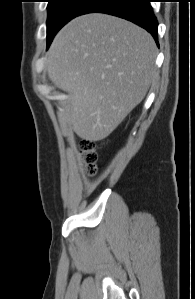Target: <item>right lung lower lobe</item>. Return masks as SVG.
Returning a JSON list of instances; mask_svg holds the SVG:
<instances>
[{
  "mask_svg": "<svg viewBox=\"0 0 195 299\" xmlns=\"http://www.w3.org/2000/svg\"><path fill=\"white\" fill-rule=\"evenodd\" d=\"M149 3V0H90L79 15L99 12L126 19L147 30L158 44V22Z\"/></svg>",
  "mask_w": 195,
  "mask_h": 299,
  "instance_id": "right-lung-lower-lobe-1",
  "label": "right lung lower lobe"
}]
</instances>
